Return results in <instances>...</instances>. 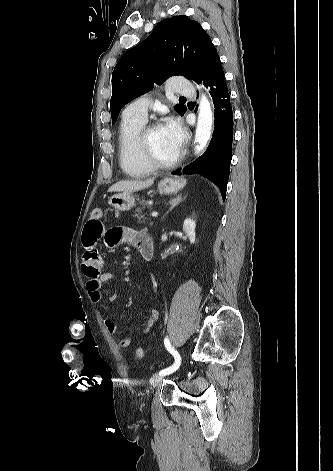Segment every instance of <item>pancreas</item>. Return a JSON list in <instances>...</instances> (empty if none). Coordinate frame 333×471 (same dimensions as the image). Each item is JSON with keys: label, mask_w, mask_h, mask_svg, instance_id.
<instances>
[{"label": "pancreas", "mask_w": 333, "mask_h": 471, "mask_svg": "<svg viewBox=\"0 0 333 471\" xmlns=\"http://www.w3.org/2000/svg\"><path fill=\"white\" fill-rule=\"evenodd\" d=\"M140 204H141V207L138 208V209L135 211V215H134V216L138 219V222H139V223H147V222H146V219L148 220V218H145V215L142 214V211H143L144 209L148 208L149 205H148L144 200H142V201L140 202ZM152 225H153V223L150 222V223H149V226H152Z\"/></svg>", "instance_id": "pancreas-1"}]
</instances>
